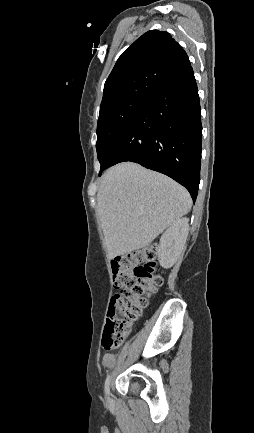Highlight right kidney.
Masks as SVG:
<instances>
[{
  "label": "right kidney",
  "instance_id": "1",
  "mask_svg": "<svg viewBox=\"0 0 254 433\" xmlns=\"http://www.w3.org/2000/svg\"><path fill=\"white\" fill-rule=\"evenodd\" d=\"M189 231V219L175 221L161 236L157 250L158 260L162 267L170 268L177 261L185 245Z\"/></svg>",
  "mask_w": 254,
  "mask_h": 433
}]
</instances>
